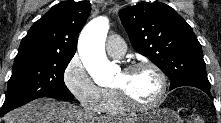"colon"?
I'll list each match as a JSON object with an SVG mask.
<instances>
[{"label": "colon", "mask_w": 221, "mask_h": 123, "mask_svg": "<svg viewBox=\"0 0 221 123\" xmlns=\"http://www.w3.org/2000/svg\"><path fill=\"white\" fill-rule=\"evenodd\" d=\"M188 123H205V120L198 114H191L188 119Z\"/></svg>", "instance_id": "1"}]
</instances>
